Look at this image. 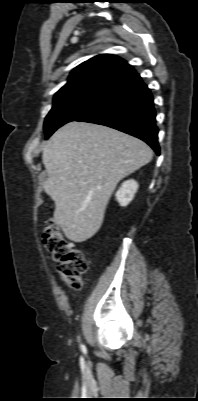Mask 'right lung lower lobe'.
<instances>
[{
  "label": "right lung lower lobe",
  "instance_id": "98d812e1",
  "mask_svg": "<svg viewBox=\"0 0 198 401\" xmlns=\"http://www.w3.org/2000/svg\"><path fill=\"white\" fill-rule=\"evenodd\" d=\"M155 116L152 94L135 73L111 88L97 107L76 121L105 125L133 135L159 155Z\"/></svg>",
  "mask_w": 198,
  "mask_h": 401
}]
</instances>
